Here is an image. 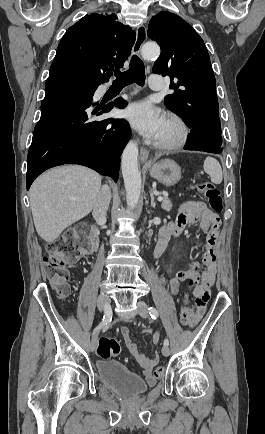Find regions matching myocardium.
Instances as JSON below:
<instances>
[{
  "label": "myocardium",
  "mask_w": 265,
  "mask_h": 434,
  "mask_svg": "<svg viewBox=\"0 0 265 434\" xmlns=\"http://www.w3.org/2000/svg\"><path fill=\"white\" fill-rule=\"evenodd\" d=\"M171 131L170 137L162 142H157L155 148L160 151H175L182 148L189 137V129L186 122L178 115L172 114L166 122Z\"/></svg>",
  "instance_id": "obj_1"
}]
</instances>
